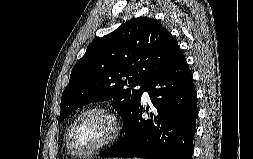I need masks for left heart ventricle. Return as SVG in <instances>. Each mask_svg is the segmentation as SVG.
<instances>
[{
  "mask_svg": "<svg viewBox=\"0 0 253 159\" xmlns=\"http://www.w3.org/2000/svg\"><path fill=\"white\" fill-rule=\"evenodd\" d=\"M112 133V124L107 115L91 112L75 125L71 144L78 152H85L106 140Z\"/></svg>",
  "mask_w": 253,
  "mask_h": 159,
  "instance_id": "1",
  "label": "left heart ventricle"
}]
</instances>
